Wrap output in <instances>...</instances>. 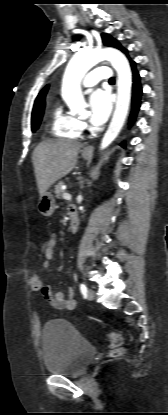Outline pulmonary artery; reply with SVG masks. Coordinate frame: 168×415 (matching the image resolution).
<instances>
[{
	"label": "pulmonary artery",
	"instance_id": "pulmonary-artery-1",
	"mask_svg": "<svg viewBox=\"0 0 168 415\" xmlns=\"http://www.w3.org/2000/svg\"><path fill=\"white\" fill-rule=\"evenodd\" d=\"M111 77V72L108 67H97L89 72L83 79V85L85 87H91L96 85L101 80H108Z\"/></svg>",
	"mask_w": 168,
	"mask_h": 415
}]
</instances>
